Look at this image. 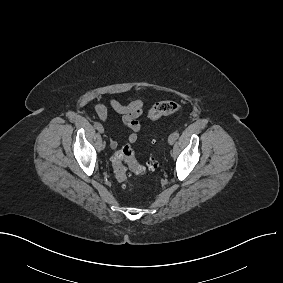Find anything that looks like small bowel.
I'll list each match as a JSON object with an SVG mask.
<instances>
[{
  "mask_svg": "<svg viewBox=\"0 0 283 283\" xmlns=\"http://www.w3.org/2000/svg\"><path fill=\"white\" fill-rule=\"evenodd\" d=\"M110 108L122 117L123 123L127 126L131 133L127 136L129 143H134L137 140V134L141 131L142 125L139 121V117L144 112V102L141 99L131 101L130 103L123 104L115 98H111L109 101ZM97 116L102 120L108 119L109 110L104 104L97 103L95 106ZM110 145L112 148L118 146L116 140H111Z\"/></svg>",
  "mask_w": 283,
  "mask_h": 283,
  "instance_id": "obj_1",
  "label": "small bowel"
}]
</instances>
